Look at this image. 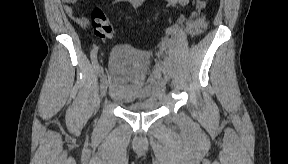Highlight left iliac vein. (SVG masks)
Masks as SVG:
<instances>
[{
    "mask_svg": "<svg viewBox=\"0 0 288 164\" xmlns=\"http://www.w3.org/2000/svg\"><path fill=\"white\" fill-rule=\"evenodd\" d=\"M166 77L169 79L170 78V75H169V73H166Z\"/></svg>",
    "mask_w": 288,
    "mask_h": 164,
    "instance_id": "4c4485c4",
    "label": "left iliac vein"
}]
</instances>
